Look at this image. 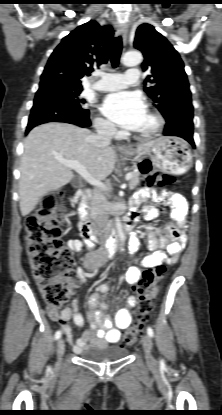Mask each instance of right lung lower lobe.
Listing matches in <instances>:
<instances>
[{
	"label": "right lung lower lobe",
	"instance_id": "right-lung-lower-lobe-1",
	"mask_svg": "<svg viewBox=\"0 0 222 415\" xmlns=\"http://www.w3.org/2000/svg\"><path fill=\"white\" fill-rule=\"evenodd\" d=\"M55 121L80 127L91 125L89 111L81 108L80 103L65 92L61 81L46 79L40 82L26 133L36 125Z\"/></svg>",
	"mask_w": 222,
	"mask_h": 415
}]
</instances>
